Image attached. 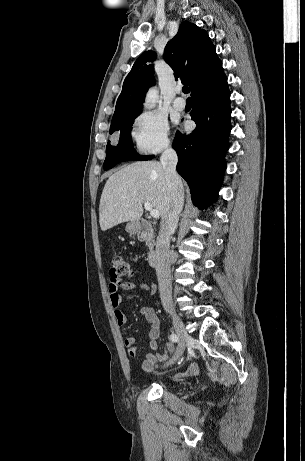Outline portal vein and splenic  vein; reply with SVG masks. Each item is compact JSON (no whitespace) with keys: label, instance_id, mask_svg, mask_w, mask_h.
Returning <instances> with one entry per match:
<instances>
[{"label":"portal vein and splenic vein","instance_id":"18ae733b","mask_svg":"<svg viewBox=\"0 0 305 461\" xmlns=\"http://www.w3.org/2000/svg\"><path fill=\"white\" fill-rule=\"evenodd\" d=\"M145 210L149 211L150 216L153 218H159L160 214L159 211L156 209H153V206L150 202H145L144 203Z\"/></svg>","mask_w":305,"mask_h":461}]
</instances>
